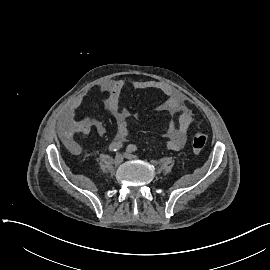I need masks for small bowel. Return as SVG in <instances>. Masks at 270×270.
<instances>
[{
  "label": "small bowel",
  "instance_id": "c3829d8e",
  "mask_svg": "<svg viewBox=\"0 0 270 270\" xmlns=\"http://www.w3.org/2000/svg\"><path fill=\"white\" fill-rule=\"evenodd\" d=\"M124 87L125 82L122 80H110L101 86V90L107 95L106 107L114 116L116 122L117 132L115 139L119 142L124 141L128 136V119L130 117V112L123 109L120 105V96ZM133 87L138 90L154 89L162 92L166 99L159 106L158 110L168 113H181L178 121L172 119L164 132L167 148L173 151L181 150L186 142L188 130L192 122V115L185 104L184 95L169 85L154 80L139 81L134 83ZM82 100L83 96H78L65 113L62 129L63 136L67 140L72 139L78 133L87 135L92 130H95L99 136L107 134L106 126L100 120L86 119L78 116V109Z\"/></svg>",
  "mask_w": 270,
  "mask_h": 270
}]
</instances>
